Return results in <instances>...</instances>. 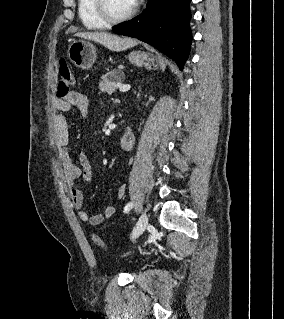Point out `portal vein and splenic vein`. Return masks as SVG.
<instances>
[{"label":"portal vein and splenic vein","mask_w":284,"mask_h":319,"mask_svg":"<svg viewBox=\"0 0 284 319\" xmlns=\"http://www.w3.org/2000/svg\"><path fill=\"white\" fill-rule=\"evenodd\" d=\"M130 88H131L130 85H119V90H120L121 92H127V91L130 90Z\"/></svg>","instance_id":"obj_1"}]
</instances>
